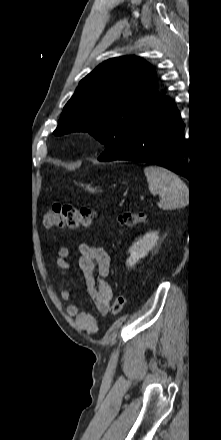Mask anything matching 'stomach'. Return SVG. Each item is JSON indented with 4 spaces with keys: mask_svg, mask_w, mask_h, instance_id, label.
I'll list each match as a JSON object with an SVG mask.
<instances>
[{
    "mask_svg": "<svg viewBox=\"0 0 221 440\" xmlns=\"http://www.w3.org/2000/svg\"><path fill=\"white\" fill-rule=\"evenodd\" d=\"M86 190H88V191L94 193V192L96 191V188H92L90 185H87V186H86Z\"/></svg>",
    "mask_w": 221,
    "mask_h": 440,
    "instance_id": "stomach-1",
    "label": "stomach"
}]
</instances>
